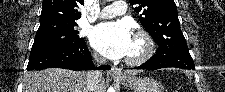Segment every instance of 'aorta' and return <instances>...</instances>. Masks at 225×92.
Here are the masks:
<instances>
[{
    "label": "aorta",
    "mask_w": 225,
    "mask_h": 92,
    "mask_svg": "<svg viewBox=\"0 0 225 92\" xmlns=\"http://www.w3.org/2000/svg\"><path fill=\"white\" fill-rule=\"evenodd\" d=\"M108 92H114V89H113L112 87H110V88L108 89Z\"/></svg>",
    "instance_id": "obj_1"
}]
</instances>
